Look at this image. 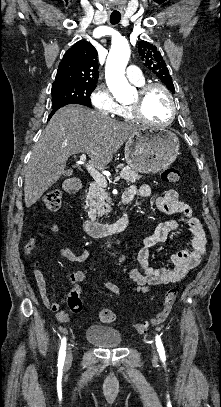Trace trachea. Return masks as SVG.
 Returning a JSON list of instances; mask_svg holds the SVG:
<instances>
[{
    "label": "trachea",
    "instance_id": "3493384b",
    "mask_svg": "<svg viewBox=\"0 0 221 407\" xmlns=\"http://www.w3.org/2000/svg\"><path fill=\"white\" fill-rule=\"evenodd\" d=\"M120 19H121V14L120 13H112L110 15V22L113 25L118 24L120 22Z\"/></svg>",
    "mask_w": 221,
    "mask_h": 407
}]
</instances>
